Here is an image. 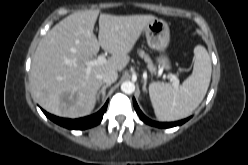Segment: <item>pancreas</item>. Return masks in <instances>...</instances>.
Returning a JSON list of instances; mask_svg holds the SVG:
<instances>
[{
	"mask_svg": "<svg viewBox=\"0 0 248 165\" xmlns=\"http://www.w3.org/2000/svg\"><path fill=\"white\" fill-rule=\"evenodd\" d=\"M138 54L140 57L144 58V60L147 62L149 71L151 73H155L156 67L153 65V62L150 59V57L143 50H138Z\"/></svg>",
	"mask_w": 248,
	"mask_h": 165,
	"instance_id": "1",
	"label": "pancreas"
}]
</instances>
